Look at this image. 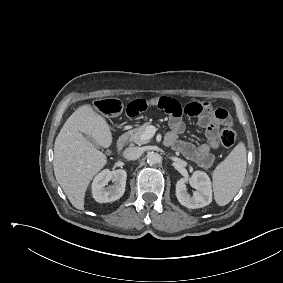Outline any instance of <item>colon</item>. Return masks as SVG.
<instances>
[{
    "instance_id": "colon-1",
    "label": "colon",
    "mask_w": 283,
    "mask_h": 283,
    "mask_svg": "<svg viewBox=\"0 0 283 283\" xmlns=\"http://www.w3.org/2000/svg\"><path fill=\"white\" fill-rule=\"evenodd\" d=\"M95 109L104 116L115 117L122 113L123 104L115 98H104L95 101ZM236 132L229 127L220 131L219 139L221 144L226 148H231L236 142Z\"/></svg>"
}]
</instances>
